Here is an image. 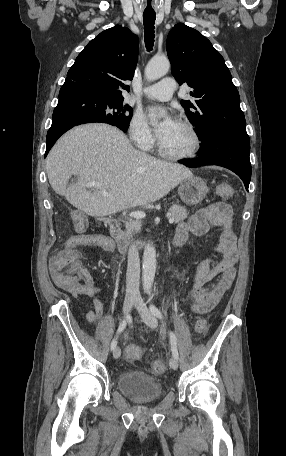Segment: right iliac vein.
I'll list each match as a JSON object with an SVG mask.
<instances>
[{"mask_svg": "<svg viewBox=\"0 0 286 456\" xmlns=\"http://www.w3.org/2000/svg\"><path fill=\"white\" fill-rule=\"evenodd\" d=\"M137 299L134 296H126L123 304V312L125 315H128L132 306L136 303ZM121 355V349L119 347L114 349L113 357L115 359L119 358Z\"/></svg>", "mask_w": 286, "mask_h": 456, "instance_id": "obj_1", "label": "right iliac vein"}]
</instances>
